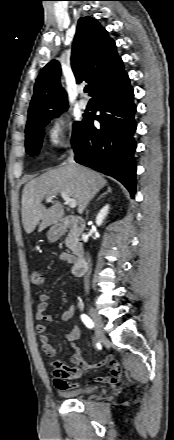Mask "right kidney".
<instances>
[{
    "instance_id": "obj_1",
    "label": "right kidney",
    "mask_w": 174,
    "mask_h": 440,
    "mask_svg": "<svg viewBox=\"0 0 174 440\" xmlns=\"http://www.w3.org/2000/svg\"><path fill=\"white\" fill-rule=\"evenodd\" d=\"M108 210H109V205H105L98 213V215L96 216V224L98 226H100L104 220V218L106 217V215L108 214Z\"/></svg>"
}]
</instances>
